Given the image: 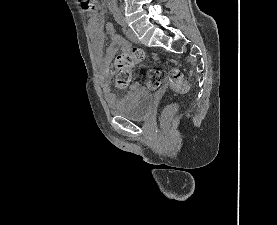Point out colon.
Masks as SVG:
<instances>
[{"label": "colon", "mask_w": 277, "mask_h": 225, "mask_svg": "<svg viewBox=\"0 0 277 225\" xmlns=\"http://www.w3.org/2000/svg\"><path fill=\"white\" fill-rule=\"evenodd\" d=\"M82 6L85 11H93L95 5L91 0H82ZM147 57L141 49H135L129 53L119 54L115 59V84L118 88H127L132 79L133 66L143 61ZM165 80V75L160 70H152L147 73V86L150 89H157ZM169 80L172 86L181 92L190 91V85L185 75L178 69H172L169 72ZM178 110L177 104L168 105L163 111V118L168 119Z\"/></svg>", "instance_id": "obj_1"}]
</instances>
